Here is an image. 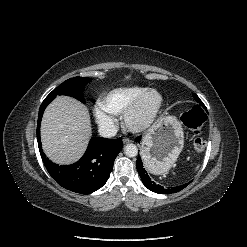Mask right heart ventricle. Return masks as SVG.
Instances as JSON below:
<instances>
[{"instance_id": "right-heart-ventricle-1", "label": "right heart ventricle", "mask_w": 247, "mask_h": 247, "mask_svg": "<svg viewBox=\"0 0 247 247\" xmlns=\"http://www.w3.org/2000/svg\"><path fill=\"white\" fill-rule=\"evenodd\" d=\"M147 89L140 86L117 88L107 93L101 99V104L109 113L119 115L126 110L135 98Z\"/></svg>"}]
</instances>
